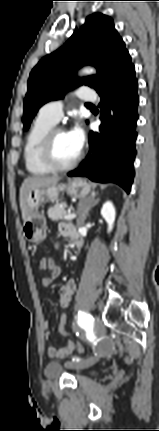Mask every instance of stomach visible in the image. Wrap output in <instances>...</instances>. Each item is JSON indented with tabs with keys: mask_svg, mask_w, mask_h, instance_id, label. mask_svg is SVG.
Instances as JSON below:
<instances>
[{
	"mask_svg": "<svg viewBox=\"0 0 159 431\" xmlns=\"http://www.w3.org/2000/svg\"><path fill=\"white\" fill-rule=\"evenodd\" d=\"M61 191L75 198H85L91 192V186L83 179L76 178L31 190L27 196L28 216L23 225V234L28 241L40 243L46 238V218L39 207L45 200L58 201Z\"/></svg>",
	"mask_w": 159,
	"mask_h": 431,
	"instance_id": "stomach-1",
	"label": "stomach"
}]
</instances>
